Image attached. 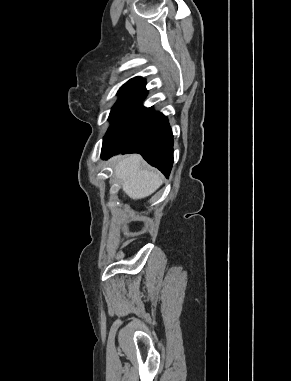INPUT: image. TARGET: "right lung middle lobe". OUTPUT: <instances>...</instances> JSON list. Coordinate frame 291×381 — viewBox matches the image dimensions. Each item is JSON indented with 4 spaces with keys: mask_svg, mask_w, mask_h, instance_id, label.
<instances>
[{
    "mask_svg": "<svg viewBox=\"0 0 291 381\" xmlns=\"http://www.w3.org/2000/svg\"><path fill=\"white\" fill-rule=\"evenodd\" d=\"M140 82V79L130 80L119 89L118 94H120V99L112 107L110 112L109 120L112 121V125L104 137V142H114L118 140L121 132V124L135 97Z\"/></svg>",
    "mask_w": 291,
    "mask_h": 381,
    "instance_id": "1",
    "label": "right lung middle lobe"
}]
</instances>
